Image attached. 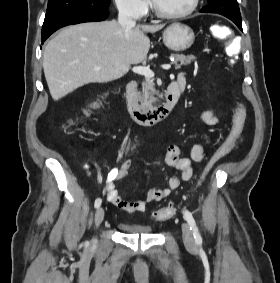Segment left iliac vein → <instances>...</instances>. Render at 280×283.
<instances>
[{
  "instance_id": "4c4485c4",
  "label": "left iliac vein",
  "mask_w": 280,
  "mask_h": 283,
  "mask_svg": "<svg viewBox=\"0 0 280 283\" xmlns=\"http://www.w3.org/2000/svg\"><path fill=\"white\" fill-rule=\"evenodd\" d=\"M182 237L184 244L188 248H195L196 243L192 234V231L190 230V227L187 223H182Z\"/></svg>"
}]
</instances>
